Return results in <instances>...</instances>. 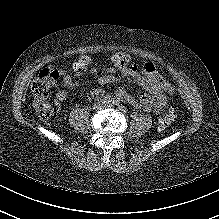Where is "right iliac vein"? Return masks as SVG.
<instances>
[{
	"instance_id": "right-iliac-vein-1",
	"label": "right iliac vein",
	"mask_w": 219,
	"mask_h": 219,
	"mask_svg": "<svg viewBox=\"0 0 219 219\" xmlns=\"http://www.w3.org/2000/svg\"><path fill=\"white\" fill-rule=\"evenodd\" d=\"M101 107H102V103L101 102H97V103L94 104V109L95 110H99V109H101Z\"/></svg>"
}]
</instances>
